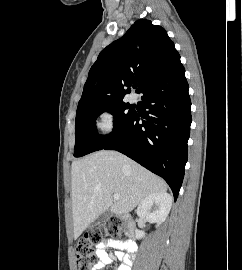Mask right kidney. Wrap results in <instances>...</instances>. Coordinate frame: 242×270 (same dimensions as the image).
<instances>
[{
  "label": "right kidney",
  "instance_id": "1",
  "mask_svg": "<svg viewBox=\"0 0 242 270\" xmlns=\"http://www.w3.org/2000/svg\"><path fill=\"white\" fill-rule=\"evenodd\" d=\"M156 206L151 213V208ZM172 197L168 193H153L144 198L137 208V216L141 220L156 223L158 227L164 222L171 210ZM145 236L143 231L136 229V238L141 239Z\"/></svg>",
  "mask_w": 242,
  "mask_h": 270
}]
</instances>
